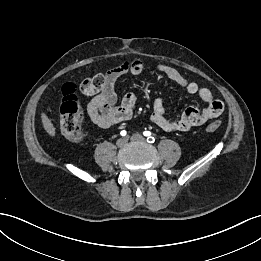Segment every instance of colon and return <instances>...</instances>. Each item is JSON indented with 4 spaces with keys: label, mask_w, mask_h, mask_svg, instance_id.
I'll list each match as a JSON object with an SVG mask.
<instances>
[{
    "label": "colon",
    "mask_w": 261,
    "mask_h": 261,
    "mask_svg": "<svg viewBox=\"0 0 261 261\" xmlns=\"http://www.w3.org/2000/svg\"><path fill=\"white\" fill-rule=\"evenodd\" d=\"M105 85L104 74H97L82 82L80 88L87 92L95 93ZM77 86L74 83H66L62 87V100L60 105V128L62 134L73 141L81 140L85 133L82 128V111L76 95ZM222 125L220 120L210 123L206 127L207 132H215Z\"/></svg>",
    "instance_id": "5ec220e1"
}]
</instances>
